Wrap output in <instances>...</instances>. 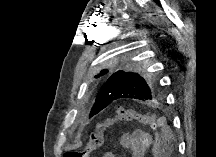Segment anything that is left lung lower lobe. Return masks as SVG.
I'll return each mask as SVG.
<instances>
[{
  "label": "left lung lower lobe",
  "mask_w": 216,
  "mask_h": 157,
  "mask_svg": "<svg viewBox=\"0 0 216 157\" xmlns=\"http://www.w3.org/2000/svg\"><path fill=\"white\" fill-rule=\"evenodd\" d=\"M108 105H109L108 103H101V104L99 103L97 105H94L92 108V111L90 112V117L96 115L97 113H99L101 110H103Z\"/></svg>",
  "instance_id": "1"
}]
</instances>
